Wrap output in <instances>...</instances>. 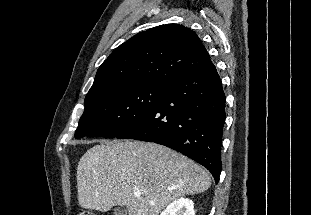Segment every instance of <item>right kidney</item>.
<instances>
[{
  "mask_svg": "<svg viewBox=\"0 0 311 215\" xmlns=\"http://www.w3.org/2000/svg\"><path fill=\"white\" fill-rule=\"evenodd\" d=\"M160 215H195L194 203L188 198H180L169 204Z\"/></svg>",
  "mask_w": 311,
  "mask_h": 215,
  "instance_id": "right-kidney-1",
  "label": "right kidney"
}]
</instances>
